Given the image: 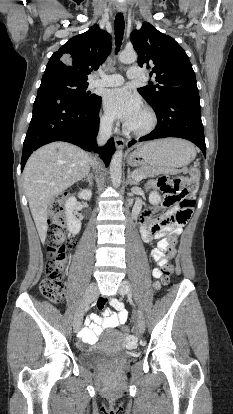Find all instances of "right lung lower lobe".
Segmentation results:
<instances>
[{
    "label": "right lung lower lobe",
    "mask_w": 233,
    "mask_h": 414,
    "mask_svg": "<svg viewBox=\"0 0 233 414\" xmlns=\"http://www.w3.org/2000/svg\"><path fill=\"white\" fill-rule=\"evenodd\" d=\"M101 97L95 102L77 104L52 95L37 96L33 116L26 134L21 160V171L31 153L50 142L66 141L86 151L97 148ZM115 151L114 140L99 149L106 166Z\"/></svg>",
    "instance_id": "1"
}]
</instances>
